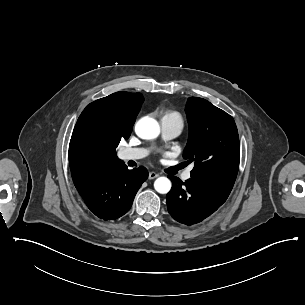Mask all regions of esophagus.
Here are the masks:
<instances>
[{
    "mask_svg": "<svg viewBox=\"0 0 305 305\" xmlns=\"http://www.w3.org/2000/svg\"><path fill=\"white\" fill-rule=\"evenodd\" d=\"M159 175L155 172H150L149 173V179L152 180V179H155L157 178Z\"/></svg>",
    "mask_w": 305,
    "mask_h": 305,
    "instance_id": "34e87169",
    "label": "esophagus"
}]
</instances>
